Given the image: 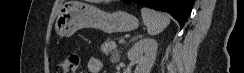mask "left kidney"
Masks as SVG:
<instances>
[{
    "instance_id": "obj_1",
    "label": "left kidney",
    "mask_w": 244,
    "mask_h": 73,
    "mask_svg": "<svg viewBox=\"0 0 244 73\" xmlns=\"http://www.w3.org/2000/svg\"><path fill=\"white\" fill-rule=\"evenodd\" d=\"M158 43L144 38L136 42L127 53V58L137 64L135 73H150L157 56Z\"/></svg>"
}]
</instances>
